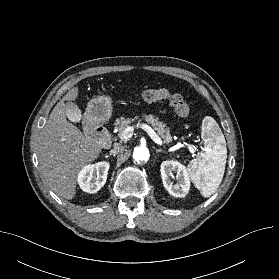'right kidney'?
<instances>
[{"mask_svg": "<svg viewBox=\"0 0 279 279\" xmlns=\"http://www.w3.org/2000/svg\"><path fill=\"white\" fill-rule=\"evenodd\" d=\"M109 167L105 161L84 166L77 178L80 188L87 193L98 192L106 183Z\"/></svg>", "mask_w": 279, "mask_h": 279, "instance_id": "1", "label": "right kidney"}]
</instances>
